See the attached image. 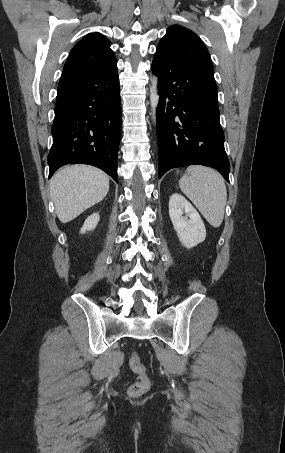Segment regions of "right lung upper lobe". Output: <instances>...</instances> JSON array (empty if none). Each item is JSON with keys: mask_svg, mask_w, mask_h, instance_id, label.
<instances>
[{"mask_svg": "<svg viewBox=\"0 0 285 453\" xmlns=\"http://www.w3.org/2000/svg\"><path fill=\"white\" fill-rule=\"evenodd\" d=\"M110 45L109 39L101 33L88 34L73 47L64 70L107 71L115 68L117 61Z\"/></svg>", "mask_w": 285, "mask_h": 453, "instance_id": "1", "label": "right lung upper lobe"}]
</instances>
